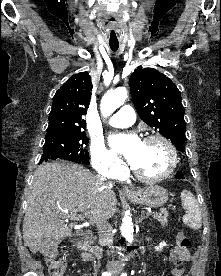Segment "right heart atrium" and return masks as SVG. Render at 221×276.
<instances>
[{"label":"right heart atrium","mask_w":221,"mask_h":276,"mask_svg":"<svg viewBox=\"0 0 221 276\" xmlns=\"http://www.w3.org/2000/svg\"><path fill=\"white\" fill-rule=\"evenodd\" d=\"M91 162L101 175L116 179L124 173L123 162L102 141H94L90 148Z\"/></svg>","instance_id":"right-heart-atrium-1"}]
</instances>
